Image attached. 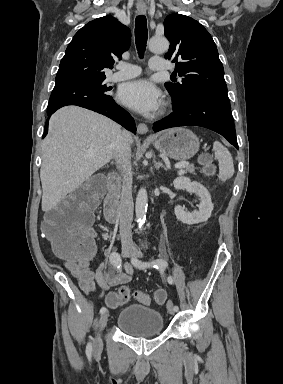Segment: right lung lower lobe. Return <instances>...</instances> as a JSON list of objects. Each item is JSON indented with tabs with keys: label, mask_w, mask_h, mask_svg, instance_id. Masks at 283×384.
Masks as SVG:
<instances>
[{
	"label": "right lung lower lobe",
	"mask_w": 283,
	"mask_h": 384,
	"mask_svg": "<svg viewBox=\"0 0 283 384\" xmlns=\"http://www.w3.org/2000/svg\"><path fill=\"white\" fill-rule=\"evenodd\" d=\"M74 105L84 107V108L93 110L95 112H98L100 114H103L111 118L112 120L116 121L117 123L125 127L127 130H130L131 132L136 133V126L133 118L127 111H125L123 108L118 106L113 100V98L99 100V101L83 102V103H78ZM59 108L48 107L47 108L48 116H51ZM47 132H48V120L45 124L43 138L47 135Z\"/></svg>",
	"instance_id": "1"
}]
</instances>
